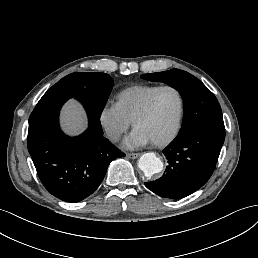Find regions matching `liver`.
Instances as JSON below:
<instances>
[{
    "mask_svg": "<svg viewBox=\"0 0 258 258\" xmlns=\"http://www.w3.org/2000/svg\"><path fill=\"white\" fill-rule=\"evenodd\" d=\"M61 123L63 129L71 134L78 135L83 132L87 125L86 114L82 106L74 99L69 100L61 112Z\"/></svg>",
    "mask_w": 258,
    "mask_h": 258,
    "instance_id": "liver-1",
    "label": "liver"
}]
</instances>
